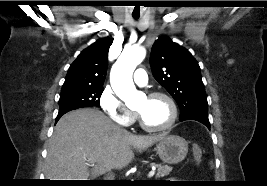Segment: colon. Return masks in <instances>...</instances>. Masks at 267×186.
Masks as SVG:
<instances>
[{
	"instance_id": "obj_1",
	"label": "colon",
	"mask_w": 267,
	"mask_h": 186,
	"mask_svg": "<svg viewBox=\"0 0 267 186\" xmlns=\"http://www.w3.org/2000/svg\"><path fill=\"white\" fill-rule=\"evenodd\" d=\"M193 154H194L195 160L199 161L202 157V149L199 146L195 145L193 147Z\"/></svg>"
}]
</instances>
